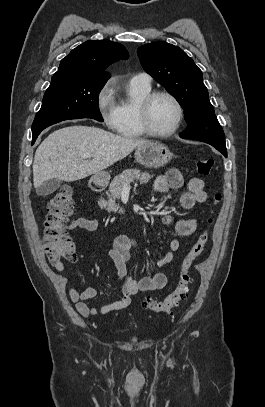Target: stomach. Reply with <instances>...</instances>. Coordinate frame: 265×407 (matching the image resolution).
<instances>
[{"label": "stomach", "mask_w": 265, "mask_h": 407, "mask_svg": "<svg viewBox=\"0 0 265 407\" xmlns=\"http://www.w3.org/2000/svg\"><path fill=\"white\" fill-rule=\"evenodd\" d=\"M172 157L170 150L159 142H149L135 150L136 161L148 168L163 167L171 161ZM109 180L110 175L106 171L98 172L90 179L96 186H105Z\"/></svg>", "instance_id": "obj_1"}]
</instances>
